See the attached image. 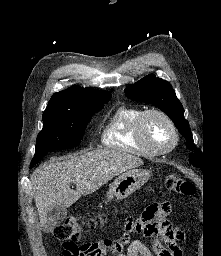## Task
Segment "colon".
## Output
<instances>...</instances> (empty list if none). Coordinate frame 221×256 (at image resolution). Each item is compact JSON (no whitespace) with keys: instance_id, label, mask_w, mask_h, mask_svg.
Wrapping results in <instances>:
<instances>
[{"instance_id":"obj_1","label":"colon","mask_w":221,"mask_h":256,"mask_svg":"<svg viewBox=\"0 0 221 256\" xmlns=\"http://www.w3.org/2000/svg\"><path fill=\"white\" fill-rule=\"evenodd\" d=\"M166 188L177 194L191 195L194 193V186L176 174H168L165 178ZM105 220L104 216H99L95 219L85 220L79 215L68 216L62 224L56 227L54 236L63 242V253H78L79 247L76 241L85 226L95 227Z\"/></svg>"}]
</instances>
